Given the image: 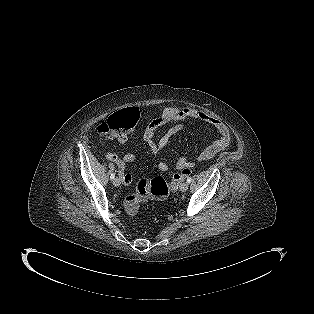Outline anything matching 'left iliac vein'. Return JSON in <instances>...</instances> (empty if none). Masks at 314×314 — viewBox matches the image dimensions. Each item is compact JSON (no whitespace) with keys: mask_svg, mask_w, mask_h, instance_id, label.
<instances>
[{"mask_svg":"<svg viewBox=\"0 0 314 314\" xmlns=\"http://www.w3.org/2000/svg\"><path fill=\"white\" fill-rule=\"evenodd\" d=\"M187 189H188V183L187 182L182 183L180 186V191L185 192L187 191Z\"/></svg>","mask_w":314,"mask_h":314,"instance_id":"left-iliac-vein-1","label":"left iliac vein"}]
</instances>
